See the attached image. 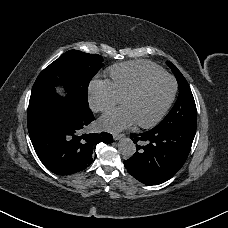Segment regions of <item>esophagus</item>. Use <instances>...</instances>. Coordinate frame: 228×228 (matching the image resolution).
<instances>
[{
  "label": "esophagus",
  "mask_w": 228,
  "mask_h": 228,
  "mask_svg": "<svg viewBox=\"0 0 228 228\" xmlns=\"http://www.w3.org/2000/svg\"><path fill=\"white\" fill-rule=\"evenodd\" d=\"M124 137V134H114L113 135V139L115 141H118L119 139L123 138Z\"/></svg>",
  "instance_id": "34e87169"
}]
</instances>
